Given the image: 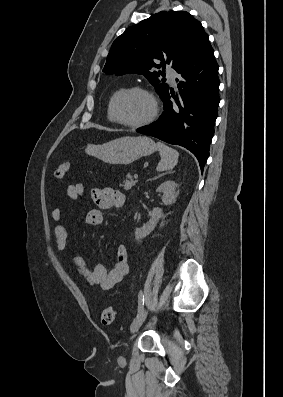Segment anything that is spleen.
<instances>
[{"instance_id":"spleen-1","label":"spleen","mask_w":283,"mask_h":397,"mask_svg":"<svg viewBox=\"0 0 283 397\" xmlns=\"http://www.w3.org/2000/svg\"><path fill=\"white\" fill-rule=\"evenodd\" d=\"M157 146L161 157L156 168L157 171L161 172L173 169L178 163L179 153L161 142H158Z\"/></svg>"}]
</instances>
